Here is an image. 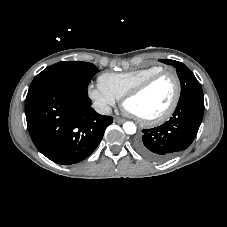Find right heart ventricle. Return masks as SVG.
<instances>
[{
  "label": "right heart ventricle",
  "mask_w": 227,
  "mask_h": 227,
  "mask_svg": "<svg viewBox=\"0 0 227 227\" xmlns=\"http://www.w3.org/2000/svg\"><path fill=\"white\" fill-rule=\"evenodd\" d=\"M161 70L163 67L149 66L122 73H104L99 77V83L119 99L128 90Z\"/></svg>",
  "instance_id": "e07e8e85"
}]
</instances>
